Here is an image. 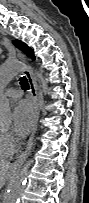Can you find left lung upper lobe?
Here are the masks:
<instances>
[{
	"instance_id": "left-lung-upper-lobe-1",
	"label": "left lung upper lobe",
	"mask_w": 89,
	"mask_h": 203,
	"mask_svg": "<svg viewBox=\"0 0 89 203\" xmlns=\"http://www.w3.org/2000/svg\"><path fill=\"white\" fill-rule=\"evenodd\" d=\"M13 44H14L17 48H19L20 50H22L27 56H29V57L35 59L33 50H32L30 47H28L25 43H23V42H21V41H19V40H14V41H13Z\"/></svg>"
}]
</instances>
